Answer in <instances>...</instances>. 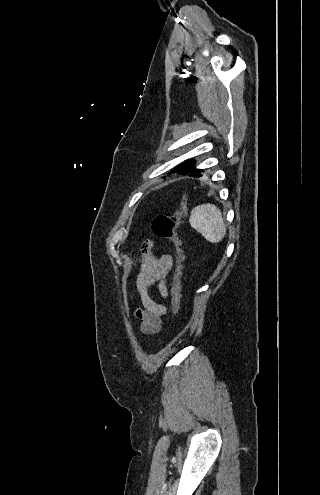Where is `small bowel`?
I'll use <instances>...</instances> for the list:
<instances>
[{
  "mask_svg": "<svg viewBox=\"0 0 320 495\" xmlns=\"http://www.w3.org/2000/svg\"><path fill=\"white\" fill-rule=\"evenodd\" d=\"M155 243L145 240L140 248V270L136 278V287L140 295L143 309L135 312L143 334H156L162 326V318L167 313V306L159 303L151 296L152 287L157 284L160 296L166 299L169 295L167 278L173 267V258L165 253L157 257L154 253Z\"/></svg>",
  "mask_w": 320,
  "mask_h": 495,
  "instance_id": "1",
  "label": "small bowel"
}]
</instances>
